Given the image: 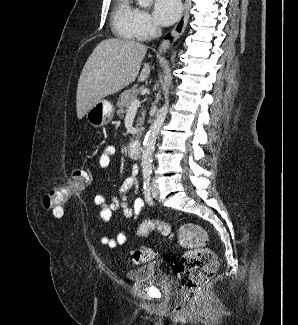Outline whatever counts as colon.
Wrapping results in <instances>:
<instances>
[{
  "mask_svg": "<svg viewBox=\"0 0 298 325\" xmlns=\"http://www.w3.org/2000/svg\"><path fill=\"white\" fill-rule=\"evenodd\" d=\"M90 173L85 167H78L72 172L71 183L48 191L43 197V206L56 216H62L65 204L75 191L83 189L89 182ZM157 230L162 235L173 237L170 225L160 219L142 222L137 228V235L145 236ZM179 244L186 249L177 269V278L182 293L187 298H195L202 288L210 281L217 269L214 253L207 248L208 236L199 225L189 223L183 225L177 233ZM154 258L153 251L148 247H137L132 251L131 260L135 264L145 263Z\"/></svg>",
  "mask_w": 298,
  "mask_h": 325,
  "instance_id": "obj_1",
  "label": "colon"
}]
</instances>
